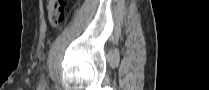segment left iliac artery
I'll use <instances>...</instances> for the list:
<instances>
[{
	"instance_id": "1",
	"label": "left iliac artery",
	"mask_w": 209,
	"mask_h": 90,
	"mask_svg": "<svg viewBox=\"0 0 209 90\" xmlns=\"http://www.w3.org/2000/svg\"><path fill=\"white\" fill-rule=\"evenodd\" d=\"M45 81H44V79L41 81V83H44Z\"/></svg>"
}]
</instances>
